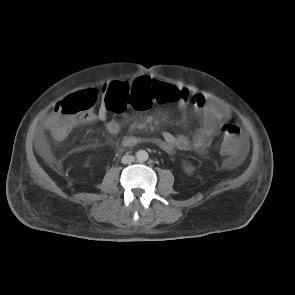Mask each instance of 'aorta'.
Instances as JSON below:
<instances>
[{"label": "aorta", "instance_id": "aorta-1", "mask_svg": "<svg viewBox=\"0 0 295 295\" xmlns=\"http://www.w3.org/2000/svg\"><path fill=\"white\" fill-rule=\"evenodd\" d=\"M136 157H137V160L140 162L146 161L149 158L148 153L145 150L137 151Z\"/></svg>", "mask_w": 295, "mask_h": 295}]
</instances>
